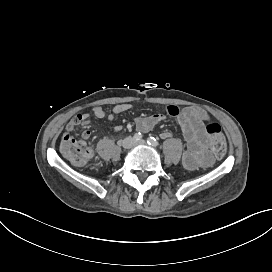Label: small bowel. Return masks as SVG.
Returning a JSON list of instances; mask_svg holds the SVG:
<instances>
[{
    "mask_svg": "<svg viewBox=\"0 0 272 272\" xmlns=\"http://www.w3.org/2000/svg\"><path fill=\"white\" fill-rule=\"evenodd\" d=\"M131 105L128 103L116 104L113 106L111 113L107 114L101 106H95L92 110L93 116L98 119H106L113 121L116 115L123 114L130 110ZM168 114L177 117V122L182 130L185 140V150L182 156V162L188 170H195L201 163L204 162L207 139L204 133V123L209 121V115L202 109L196 107H185L179 109L171 106L167 110ZM164 116L160 113H154L148 116L139 117L135 120L137 128L141 132H148L154 128L156 124L162 121ZM91 122L88 113H79L70 120L66 128L75 129L78 125H88ZM121 126H115L116 132L121 131ZM170 132L161 133L162 138L170 137ZM91 136L89 130L82 132V138L87 140Z\"/></svg>",
    "mask_w": 272,
    "mask_h": 272,
    "instance_id": "small-bowel-1",
    "label": "small bowel"
}]
</instances>
